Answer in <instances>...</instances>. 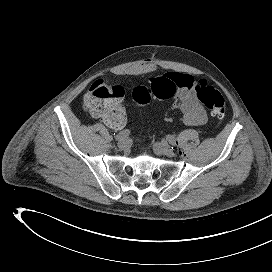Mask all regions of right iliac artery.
I'll list each match as a JSON object with an SVG mask.
<instances>
[{
	"instance_id": "1",
	"label": "right iliac artery",
	"mask_w": 272,
	"mask_h": 272,
	"mask_svg": "<svg viewBox=\"0 0 272 272\" xmlns=\"http://www.w3.org/2000/svg\"><path fill=\"white\" fill-rule=\"evenodd\" d=\"M129 134H130V130L129 129H125V130L121 131L120 133H118L116 135V140H119L121 138H125V137L129 136Z\"/></svg>"
}]
</instances>
